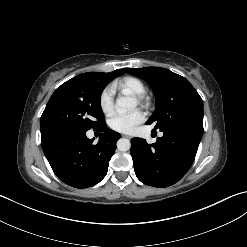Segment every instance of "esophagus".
Listing matches in <instances>:
<instances>
[{
  "mask_svg": "<svg viewBox=\"0 0 247 247\" xmlns=\"http://www.w3.org/2000/svg\"><path fill=\"white\" fill-rule=\"evenodd\" d=\"M122 136H123V137H126V138H129V139L131 138V136L125 135V134H123Z\"/></svg>",
  "mask_w": 247,
  "mask_h": 247,
  "instance_id": "1",
  "label": "esophagus"
}]
</instances>
